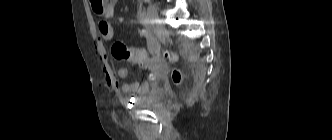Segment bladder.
<instances>
[{
	"instance_id": "31cf9c89",
	"label": "bladder",
	"mask_w": 332,
	"mask_h": 140,
	"mask_svg": "<svg viewBox=\"0 0 332 140\" xmlns=\"http://www.w3.org/2000/svg\"><path fill=\"white\" fill-rule=\"evenodd\" d=\"M161 96H162L161 91L159 90L158 87H155L152 91H150L146 95L138 98L137 103L148 106L154 103L157 99L161 98Z\"/></svg>"
}]
</instances>
